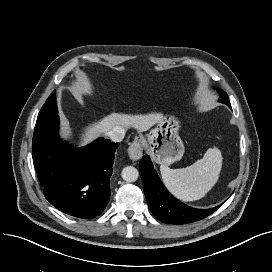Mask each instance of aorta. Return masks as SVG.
<instances>
[{
  "instance_id": "aorta-1",
  "label": "aorta",
  "mask_w": 272,
  "mask_h": 272,
  "mask_svg": "<svg viewBox=\"0 0 272 272\" xmlns=\"http://www.w3.org/2000/svg\"><path fill=\"white\" fill-rule=\"evenodd\" d=\"M121 175L126 182H135L139 177V172L135 167L127 166L123 168Z\"/></svg>"
}]
</instances>
